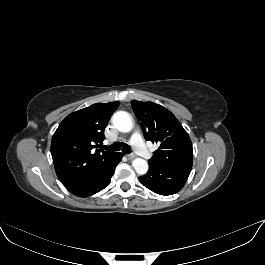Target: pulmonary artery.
Returning a JSON list of instances; mask_svg holds the SVG:
<instances>
[{
	"instance_id": "1",
	"label": "pulmonary artery",
	"mask_w": 265,
	"mask_h": 265,
	"mask_svg": "<svg viewBox=\"0 0 265 265\" xmlns=\"http://www.w3.org/2000/svg\"><path fill=\"white\" fill-rule=\"evenodd\" d=\"M131 145L133 149L136 151V153H138L140 156L147 159L152 157V152L145 146L142 135L139 130H135L132 133Z\"/></svg>"
}]
</instances>
